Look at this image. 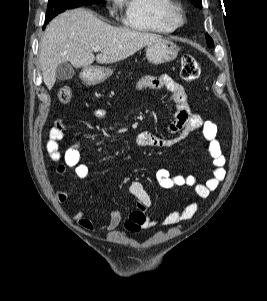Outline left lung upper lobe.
Returning <instances> with one entry per match:
<instances>
[{
  "label": "left lung upper lobe",
  "mask_w": 267,
  "mask_h": 301,
  "mask_svg": "<svg viewBox=\"0 0 267 301\" xmlns=\"http://www.w3.org/2000/svg\"><path fill=\"white\" fill-rule=\"evenodd\" d=\"M196 7L198 8H202V1L201 0H190ZM206 41H207V45L208 47H213L214 46V42L212 40V38L206 34Z\"/></svg>",
  "instance_id": "5c2ea615"
}]
</instances>
